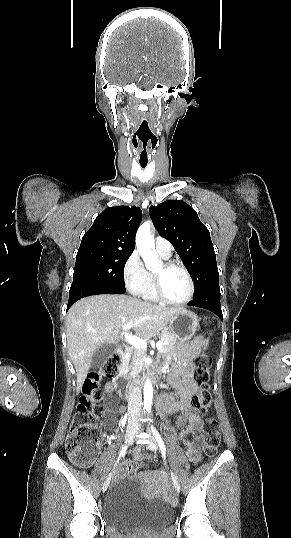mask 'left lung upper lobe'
Instances as JSON below:
<instances>
[{"instance_id": "obj_1", "label": "left lung upper lobe", "mask_w": 291, "mask_h": 538, "mask_svg": "<svg viewBox=\"0 0 291 538\" xmlns=\"http://www.w3.org/2000/svg\"><path fill=\"white\" fill-rule=\"evenodd\" d=\"M150 216L160 236L171 242L192 275L193 299L219 286L210 232L196 211L182 200H167L158 206H151Z\"/></svg>"}]
</instances>
